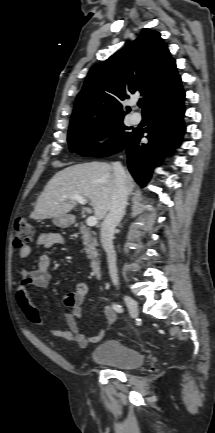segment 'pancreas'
I'll list each match as a JSON object with an SVG mask.
<instances>
[{"mask_svg":"<svg viewBox=\"0 0 215 433\" xmlns=\"http://www.w3.org/2000/svg\"><path fill=\"white\" fill-rule=\"evenodd\" d=\"M80 234L85 246V251L88 258H95L97 256V240L93 237L92 232L89 227L81 225Z\"/></svg>","mask_w":215,"mask_h":433,"instance_id":"1","label":"pancreas"}]
</instances>
